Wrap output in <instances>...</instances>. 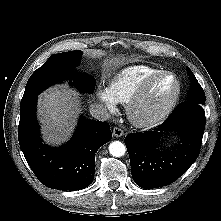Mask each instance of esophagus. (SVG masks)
I'll return each instance as SVG.
<instances>
[{"mask_svg": "<svg viewBox=\"0 0 221 221\" xmlns=\"http://www.w3.org/2000/svg\"><path fill=\"white\" fill-rule=\"evenodd\" d=\"M123 134H124V132H123V130L121 129V128H119V127H114L113 128V135L115 136V137H121V136H123Z\"/></svg>", "mask_w": 221, "mask_h": 221, "instance_id": "obj_1", "label": "esophagus"}]
</instances>
